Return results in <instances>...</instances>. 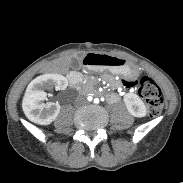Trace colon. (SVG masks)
Instances as JSON below:
<instances>
[{
	"label": "colon",
	"instance_id": "obj_1",
	"mask_svg": "<svg viewBox=\"0 0 183 183\" xmlns=\"http://www.w3.org/2000/svg\"><path fill=\"white\" fill-rule=\"evenodd\" d=\"M87 64L92 66H116L121 65V61L105 55H93L87 59ZM124 87L138 85L140 96L145 100L148 114L156 117L163 109L164 99L158 84L150 77L143 76L139 80L125 79L122 81Z\"/></svg>",
	"mask_w": 183,
	"mask_h": 183
}]
</instances>
